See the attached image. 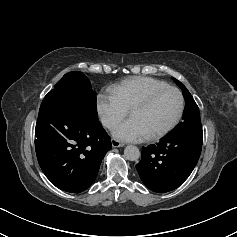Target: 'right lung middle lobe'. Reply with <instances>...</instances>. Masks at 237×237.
I'll return each mask as SVG.
<instances>
[{
  "mask_svg": "<svg viewBox=\"0 0 237 237\" xmlns=\"http://www.w3.org/2000/svg\"><path fill=\"white\" fill-rule=\"evenodd\" d=\"M44 99L53 100L78 116L97 119L96 92L82 72L65 74Z\"/></svg>",
  "mask_w": 237,
  "mask_h": 237,
  "instance_id": "right-lung-middle-lobe-1",
  "label": "right lung middle lobe"
}]
</instances>
